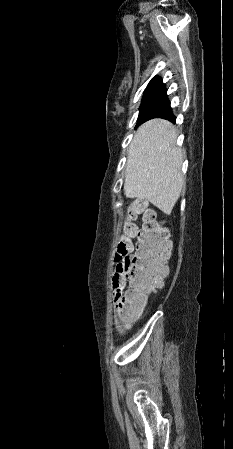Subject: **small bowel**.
<instances>
[{
    "label": "small bowel",
    "mask_w": 233,
    "mask_h": 449,
    "mask_svg": "<svg viewBox=\"0 0 233 449\" xmlns=\"http://www.w3.org/2000/svg\"><path fill=\"white\" fill-rule=\"evenodd\" d=\"M127 281V270L125 269V267L117 264L112 277L113 298L116 302H121L125 298Z\"/></svg>",
    "instance_id": "small-bowel-1"
}]
</instances>
